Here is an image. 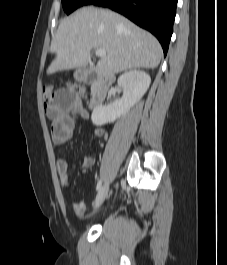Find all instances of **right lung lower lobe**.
Returning <instances> with one entry per match:
<instances>
[{
  "mask_svg": "<svg viewBox=\"0 0 227 265\" xmlns=\"http://www.w3.org/2000/svg\"><path fill=\"white\" fill-rule=\"evenodd\" d=\"M178 0H94L91 4L117 11L150 31L168 51Z\"/></svg>",
  "mask_w": 227,
  "mask_h": 265,
  "instance_id": "98d812e1",
  "label": "right lung lower lobe"
}]
</instances>
